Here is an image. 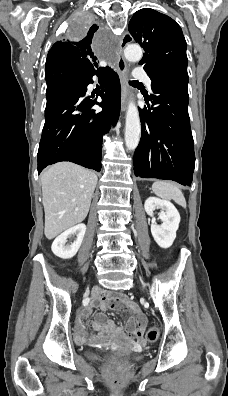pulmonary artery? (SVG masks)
<instances>
[{"label":"pulmonary artery","mask_w":228,"mask_h":396,"mask_svg":"<svg viewBox=\"0 0 228 396\" xmlns=\"http://www.w3.org/2000/svg\"><path fill=\"white\" fill-rule=\"evenodd\" d=\"M133 75L136 79L142 80L146 84L147 87L151 86L152 81H151L150 77L147 75V73L144 71L143 68H140V67L136 68L134 70Z\"/></svg>","instance_id":"pulmonary-artery-1"}]
</instances>
